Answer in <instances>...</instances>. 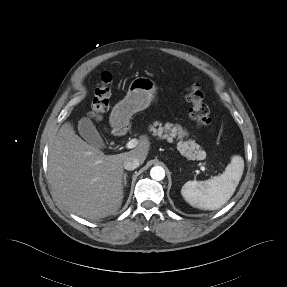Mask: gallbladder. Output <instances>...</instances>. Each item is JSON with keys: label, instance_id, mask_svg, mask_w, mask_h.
<instances>
[{"label": "gallbladder", "instance_id": "1", "mask_svg": "<svg viewBox=\"0 0 287 287\" xmlns=\"http://www.w3.org/2000/svg\"><path fill=\"white\" fill-rule=\"evenodd\" d=\"M79 134L92 146L102 148L104 146L103 140L89 118H81L78 121Z\"/></svg>", "mask_w": 287, "mask_h": 287}]
</instances>
